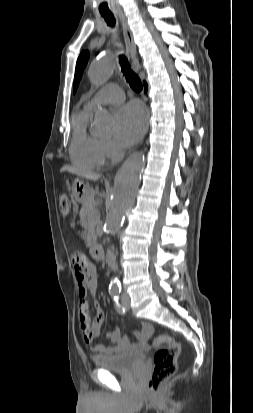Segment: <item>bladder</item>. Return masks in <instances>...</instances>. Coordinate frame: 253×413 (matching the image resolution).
<instances>
[{
    "label": "bladder",
    "mask_w": 253,
    "mask_h": 413,
    "mask_svg": "<svg viewBox=\"0 0 253 413\" xmlns=\"http://www.w3.org/2000/svg\"><path fill=\"white\" fill-rule=\"evenodd\" d=\"M145 361V353L141 350L127 351L113 355L93 357L96 366L116 372H127L141 366Z\"/></svg>",
    "instance_id": "obj_1"
}]
</instances>
